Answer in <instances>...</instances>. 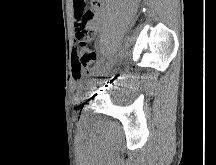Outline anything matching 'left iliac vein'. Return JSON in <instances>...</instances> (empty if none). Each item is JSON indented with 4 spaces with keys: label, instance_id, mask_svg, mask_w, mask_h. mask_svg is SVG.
Masks as SVG:
<instances>
[{
    "label": "left iliac vein",
    "instance_id": "left-iliac-vein-1",
    "mask_svg": "<svg viewBox=\"0 0 216 165\" xmlns=\"http://www.w3.org/2000/svg\"><path fill=\"white\" fill-rule=\"evenodd\" d=\"M114 64V58L110 59L105 65V71H109Z\"/></svg>",
    "mask_w": 216,
    "mask_h": 165
}]
</instances>
